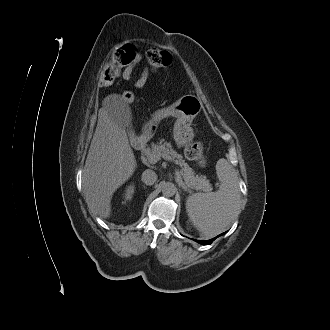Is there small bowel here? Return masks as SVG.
Listing matches in <instances>:
<instances>
[{"instance_id":"1","label":"small bowel","mask_w":330,"mask_h":330,"mask_svg":"<svg viewBox=\"0 0 330 330\" xmlns=\"http://www.w3.org/2000/svg\"><path fill=\"white\" fill-rule=\"evenodd\" d=\"M142 57L139 52H136L133 62L121 70L120 77L124 80H129L132 78L135 69L141 63ZM149 79V71L147 68H143L137 79L135 80L134 86L137 89H142L145 87Z\"/></svg>"}]
</instances>
